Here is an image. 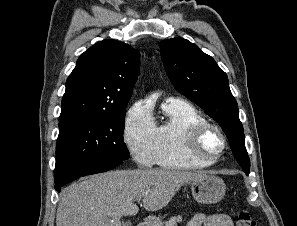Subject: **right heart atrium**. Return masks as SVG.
Instances as JSON below:
<instances>
[{
    "label": "right heart atrium",
    "instance_id": "d8ad5b80",
    "mask_svg": "<svg viewBox=\"0 0 297 226\" xmlns=\"http://www.w3.org/2000/svg\"><path fill=\"white\" fill-rule=\"evenodd\" d=\"M123 139L139 166L150 167L156 162V123L144 102H135L127 111Z\"/></svg>",
    "mask_w": 297,
    "mask_h": 226
}]
</instances>
